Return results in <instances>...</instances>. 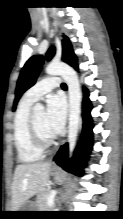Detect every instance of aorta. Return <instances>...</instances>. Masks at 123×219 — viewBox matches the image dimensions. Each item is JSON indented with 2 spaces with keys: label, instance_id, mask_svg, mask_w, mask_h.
I'll use <instances>...</instances> for the list:
<instances>
[{
  "label": "aorta",
  "instance_id": "aorta-1",
  "mask_svg": "<svg viewBox=\"0 0 123 219\" xmlns=\"http://www.w3.org/2000/svg\"><path fill=\"white\" fill-rule=\"evenodd\" d=\"M48 75H60L68 86L69 93V126H68V144L69 155L75 148L79 124H80V106H81V90L76 72L69 65L62 62H52L46 67ZM34 112L42 113L44 106L41 103L35 104Z\"/></svg>",
  "mask_w": 123,
  "mask_h": 219
}]
</instances>
